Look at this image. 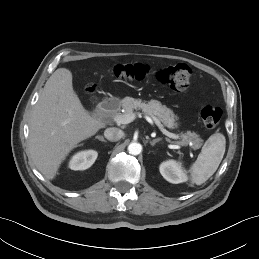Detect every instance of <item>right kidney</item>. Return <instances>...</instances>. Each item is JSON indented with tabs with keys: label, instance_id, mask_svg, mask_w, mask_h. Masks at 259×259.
I'll return each mask as SVG.
<instances>
[{
	"label": "right kidney",
	"instance_id": "ca27d5eb",
	"mask_svg": "<svg viewBox=\"0 0 259 259\" xmlns=\"http://www.w3.org/2000/svg\"><path fill=\"white\" fill-rule=\"evenodd\" d=\"M98 153L94 150L81 151L75 154L70 162L69 167L72 170H85L93 165Z\"/></svg>",
	"mask_w": 259,
	"mask_h": 259
}]
</instances>
